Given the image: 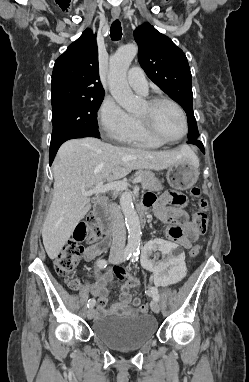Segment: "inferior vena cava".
Returning <instances> with one entry per match:
<instances>
[{"label": "inferior vena cava", "instance_id": "1", "mask_svg": "<svg viewBox=\"0 0 249 382\" xmlns=\"http://www.w3.org/2000/svg\"><path fill=\"white\" fill-rule=\"evenodd\" d=\"M112 214V245L110 249L111 258H122L125 251L126 228L120 207L116 204L110 205Z\"/></svg>", "mask_w": 249, "mask_h": 382}]
</instances>
